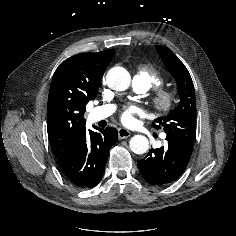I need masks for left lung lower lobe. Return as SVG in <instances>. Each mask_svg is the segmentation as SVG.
I'll use <instances>...</instances> for the list:
<instances>
[{"instance_id": "0a47b994", "label": "left lung lower lobe", "mask_w": 236, "mask_h": 236, "mask_svg": "<svg viewBox=\"0 0 236 236\" xmlns=\"http://www.w3.org/2000/svg\"><path fill=\"white\" fill-rule=\"evenodd\" d=\"M191 151L171 140L167 145L151 149L137 162L143 178L151 185H166L176 181L186 169Z\"/></svg>"}]
</instances>
